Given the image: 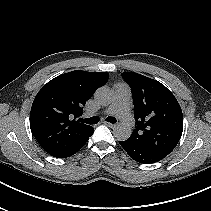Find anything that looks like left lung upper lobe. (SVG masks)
I'll return each instance as SVG.
<instances>
[{
    "label": "left lung upper lobe",
    "mask_w": 211,
    "mask_h": 211,
    "mask_svg": "<svg viewBox=\"0 0 211 211\" xmlns=\"http://www.w3.org/2000/svg\"><path fill=\"white\" fill-rule=\"evenodd\" d=\"M133 95L136 128L128 141L166 157L178 144L183 131L181 107L160 82L134 72L121 74Z\"/></svg>",
    "instance_id": "left-lung-upper-lobe-1"
}]
</instances>
